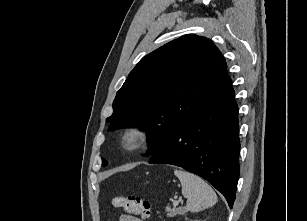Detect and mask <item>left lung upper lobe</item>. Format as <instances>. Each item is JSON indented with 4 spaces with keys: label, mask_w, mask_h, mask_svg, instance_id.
I'll use <instances>...</instances> for the list:
<instances>
[{
    "label": "left lung upper lobe",
    "mask_w": 307,
    "mask_h": 221,
    "mask_svg": "<svg viewBox=\"0 0 307 221\" xmlns=\"http://www.w3.org/2000/svg\"><path fill=\"white\" fill-rule=\"evenodd\" d=\"M221 52L209 39L184 35L146 55L130 72L106 119L110 129L148 128L154 156L178 129L231 83ZM107 161L102 160V166Z\"/></svg>",
    "instance_id": "obj_1"
}]
</instances>
